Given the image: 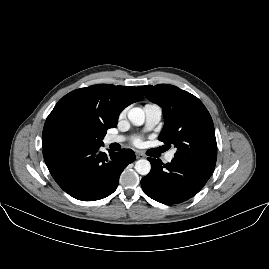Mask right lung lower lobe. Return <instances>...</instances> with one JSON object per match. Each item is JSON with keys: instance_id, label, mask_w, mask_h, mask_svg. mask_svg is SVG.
Listing matches in <instances>:
<instances>
[{"instance_id": "98d812e1", "label": "right lung lower lobe", "mask_w": 269, "mask_h": 269, "mask_svg": "<svg viewBox=\"0 0 269 269\" xmlns=\"http://www.w3.org/2000/svg\"><path fill=\"white\" fill-rule=\"evenodd\" d=\"M99 145L69 141L43 148L45 163L57 184L72 197L94 201L112 194L126 166L135 160V153L122 149L109 156Z\"/></svg>"}]
</instances>
